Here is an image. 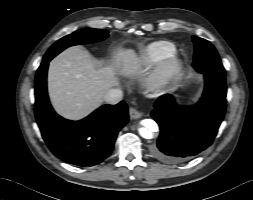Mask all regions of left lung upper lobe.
I'll return each instance as SVG.
<instances>
[{
  "mask_svg": "<svg viewBox=\"0 0 253 200\" xmlns=\"http://www.w3.org/2000/svg\"><path fill=\"white\" fill-rule=\"evenodd\" d=\"M195 53L193 67L201 73H215L225 76V69L214 46L207 40L192 37Z\"/></svg>",
  "mask_w": 253,
  "mask_h": 200,
  "instance_id": "left-lung-upper-lobe-1",
  "label": "left lung upper lobe"
}]
</instances>
